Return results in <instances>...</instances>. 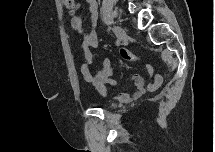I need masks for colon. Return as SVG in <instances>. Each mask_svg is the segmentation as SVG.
I'll list each match as a JSON object with an SVG mask.
<instances>
[{"mask_svg": "<svg viewBox=\"0 0 215 152\" xmlns=\"http://www.w3.org/2000/svg\"><path fill=\"white\" fill-rule=\"evenodd\" d=\"M65 8L67 11L73 13L78 9L79 3L76 0H65L64 1ZM121 54L124 58L129 59V60H139L137 56L132 54L128 49L122 48L121 49Z\"/></svg>", "mask_w": 215, "mask_h": 152, "instance_id": "obj_1", "label": "colon"}]
</instances>
